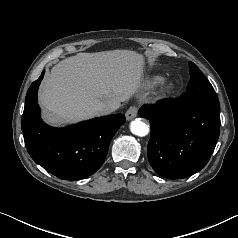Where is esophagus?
I'll use <instances>...</instances> for the list:
<instances>
[{
  "instance_id": "esophagus-1",
  "label": "esophagus",
  "mask_w": 238,
  "mask_h": 238,
  "mask_svg": "<svg viewBox=\"0 0 238 238\" xmlns=\"http://www.w3.org/2000/svg\"><path fill=\"white\" fill-rule=\"evenodd\" d=\"M137 111H138V109H137V107L136 106H131L128 110H127V112H126V119L127 120H131V119H133L134 117H136V115H137Z\"/></svg>"
}]
</instances>
